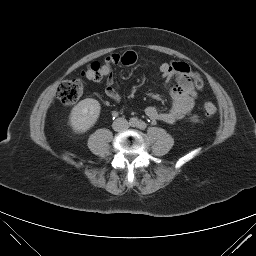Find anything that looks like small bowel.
I'll return each mask as SVG.
<instances>
[{
  "label": "small bowel",
  "instance_id": "1",
  "mask_svg": "<svg viewBox=\"0 0 256 256\" xmlns=\"http://www.w3.org/2000/svg\"><path fill=\"white\" fill-rule=\"evenodd\" d=\"M141 58L134 51H127L123 54H113L106 58L103 66V76H107L104 92L113 101H120V94L114 88L112 76L113 66L122 64L130 66ZM161 76L168 85L174 81L170 88L173 104L169 111L162 112L154 106L145 109L146 115L155 121H162L173 125L179 121H196L197 116L193 113L197 92L193 84V74L190 67L183 62H162L160 65Z\"/></svg>",
  "mask_w": 256,
  "mask_h": 256
}]
</instances>
